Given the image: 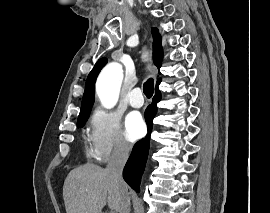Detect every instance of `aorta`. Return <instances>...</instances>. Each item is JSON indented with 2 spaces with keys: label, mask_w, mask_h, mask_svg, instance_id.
Segmentation results:
<instances>
[{
  "label": "aorta",
  "mask_w": 270,
  "mask_h": 213,
  "mask_svg": "<svg viewBox=\"0 0 270 213\" xmlns=\"http://www.w3.org/2000/svg\"><path fill=\"white\" fill-rule=\"evenodd\" d=\"M122 80L123 69L117 62L108 64L101 71L96 82V92L104 108L111 109L116 105Z\"/></svg>",
  "instance_id": "1"
}]
</instances>
